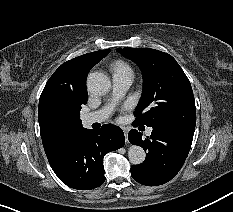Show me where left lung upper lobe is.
Instances as JSON below:
<instances>
[{
  "label": "left lung upper lobe",
  "instance_id": "obj_1",
  "mask_svg": "<svg viewBox=\"0 0 233 212\" xmlns=\"http://www.w3.org/2000/svg\"><path fill=\"white\" fill-rule=\"evenodd\" d=\"M137 63L144 75V92L134 125H170L195 129L196 108L191 84L176 60L150 48H118Z\"/></svg>",
  "mask_w": 233,
  "mask_h": 212
}]
</instances>
